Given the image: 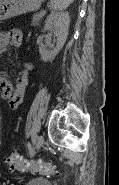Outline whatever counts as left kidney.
I'll return each instance as SVG.
<instances>
[{
	"mask_svg": "<svg viewBox=\"0 0 119 185\" xmlns=\"http://www.w3.org/2000/svg\"><path fill=\"white\" fill-rule=\"evenodd\" d=\"M69 23L70 17L68 12H52L47 16L44 30L54 33L57 37V44L52 50L44 47L39 49L42 61H52L63 48L68 36Z\"/></svg>",
	"mask_w": 119,
	"mask_h": 185,
	"instance_id": "left-kidney-1",
	"label": "left kidney"
}]
</instances>
